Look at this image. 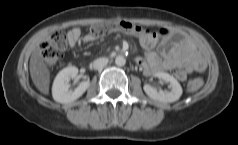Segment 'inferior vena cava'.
Returning <instances> with one entry per match:
<instances>
[{
  "label": "inferior vena cava",
  "instance_id": "1",
  "mask_svg": "<svg viewBox=\"0 0 238 145\" xmlns=\"http://www.w3.org/2000/svg\"><path fill=\"white\" fill-rule=\"evenodd\" d=\"M107 63H108V58L101 57L93 61L92 67L95 70H100V69H103L107 65Z\"/></svg>",
  "mask_w": 238,
  "mask_h": 145
}]
</instances>
